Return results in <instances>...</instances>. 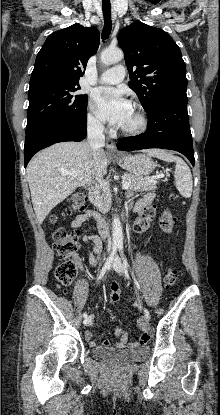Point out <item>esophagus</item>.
Listing matches in <instances>:
<instances>
[{"label":"esophagus","instance_id":"34e87169","mask_svg":"<svg viewBox=\"0 0 220 415\" xmlns=\"http://www.w3.org/2000/svg\"><path fill=\"white\" fill-rule=\"evenodd\" d=\"M106 147L109 154H118L119 151L117 150L116 144L110 138H107Z\"/></svg>","mask_w":220,"mask_h":415}]
</instances>
